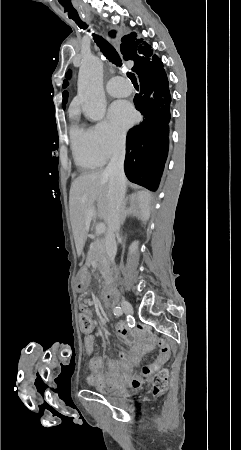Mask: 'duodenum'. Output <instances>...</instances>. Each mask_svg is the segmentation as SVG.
<instances>
[{"instance_id":"obj_1","label":"duodenum","mask_w":241,"mask_h":450,"mask_svg":"<svg viewBox=\"0 0 241 450\" xmlns=\"http://www.w3.org/2000/svg\"><path fill=\"white\" fill-rule=\"evenodd\" d=\"M86 270H82L81 278L84 279L86 276ZM103 298L107 301H113L116 298V291L112 285H107L103 288Z\"/></svg>"}]
</instances>
